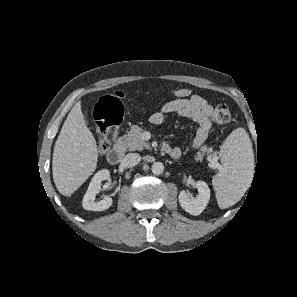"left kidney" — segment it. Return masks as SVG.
Masks as SVG:
<instances>
[{"instance_id":"5707ae66","label":"left kidney","mask_w":297,"mask_h":297,"mask_svg":"<svg viewBox=\"0 0 297 297\" xmlns=\"http://www.w3.org/2000/svg\"><path fill=\"white\" fill-rule=\"evenodd\" d=\"M195 187L198 190V195L195 198H189L184 190L178 196L181 207L191 215H199L206 208L210 199V189L204 181H197Z\"/></svg>"}]
</instances>
